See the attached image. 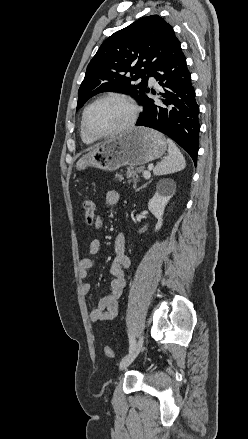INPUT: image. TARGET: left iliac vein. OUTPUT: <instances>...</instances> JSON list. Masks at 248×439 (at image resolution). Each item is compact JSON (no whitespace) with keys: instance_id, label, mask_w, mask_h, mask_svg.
I'll list each match as a JSON object with an SVG mask.
<instances>
[{"instance_id":"1","label":"left iliac vein","mask_w":248,"mask_h":439,"mask_svg":"<svg viewBox=\"0 0 248 439\" xmlns=\"http://www.w3.org/2000/svg\"><path fill=\"white\" fill-rule=\"evenodd\" d=\"M143 342H144V335L141 334L134 349L121 359L119 363L120 370L126 369L136 359V357L138 356V354L140 353L143 347Z\"/></svg>"}]
</instances>
